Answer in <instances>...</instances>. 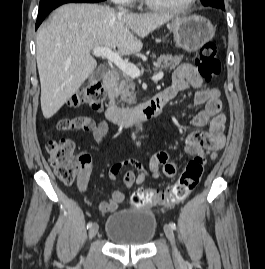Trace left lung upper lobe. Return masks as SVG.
<instances>
[{"label": "left lung upper lobe", "instance_id": "5c2ea615", "mask_svg": "<svg viewBox=\"0 0 265 269\" xmlns=\"http://www.w3.org/2000/svg\"><path fill=\"white\" fill-rule=\"evenodd\" d=\"M204 6L218 5L224 7V0H201Z\"/></svg>", "mask_w": 265, "mask_h": 269}]
</instances>
